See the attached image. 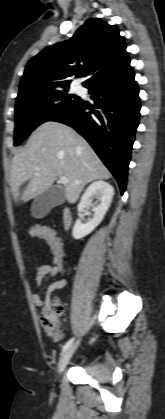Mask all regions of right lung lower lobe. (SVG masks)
Wrapping results in <instances>:
<instances>
[{"mask_svg":"<svg viewBox=\"0 0 165 419\" xmlns=\"http://www.w3.org/2000/svg\"><path fill=\"white\" fill-rule=\"evenodd\" d=\"M87 88L97 109L80 100L49 121L66 124L81 134L114 175L123 193L141 108L130 62Z\"/></svg>","mask_w":165,"mask_h":419,"instance_id":"right-lung-lower-lobe-1","label":"right lung lower lobe"}]
</instances>
